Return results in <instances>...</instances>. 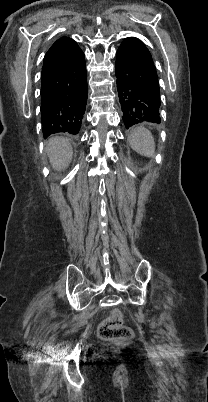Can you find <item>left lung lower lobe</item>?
<instances>
[{
    "instance_id": "0a47b994",
    "label": "left lung lower lobe",
    "mask_w": 208,
    "mask_h": 402,
    "mask_svg": "<svg viewBox=\"0 0 208 402\" xmlns=\"http://www.w3.org/2000/svg\"><path fill=\"white\" fill-rule=\"evenodd\" d=\"M117 90L125 127L160 123V91L156 67L147 47L125 38L116 52Z\"/></svg>"
}]
</instances>
